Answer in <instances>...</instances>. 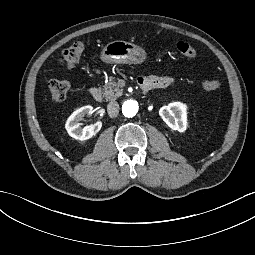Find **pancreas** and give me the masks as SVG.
<instances>
[{"label":"pancreas","instance_id":"pancreas-1","mask_svg":"<svg viewBox=\"0 0 255 255\" xmlns=\"http://www.w3.org/2000/svg\"><path fill=\"white\" fill-rule=\"evenodd\" d=\"M118 77L109 76L107 83L103 86V96L107 101L118 99L123 95V89L118 86Z\"/></svg>","mask_w":255,"mask_h":255}]
</instances>
